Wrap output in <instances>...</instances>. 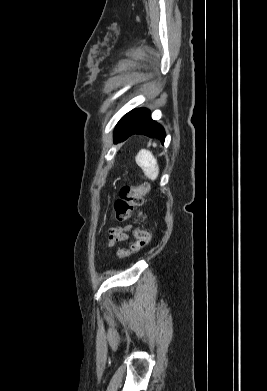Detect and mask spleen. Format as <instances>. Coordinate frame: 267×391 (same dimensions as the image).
Wrapping results in <instances>:
<instances>
[{"label": "spleen", "instance_id": "obj_1", "mask_svg": "<svg viewBox=\"0 0 267 391\" xmlns=\"http://www.w3.org/2000/svg\"><path fill=\"white\" fill-rule=\"evenodd\" d=\"M135 159L147 178L152 181L156 180L159 174V166L152 152L141 149Z\"/></svg>", "mask_w": 267, "mask_h": 391}]
</instances>
